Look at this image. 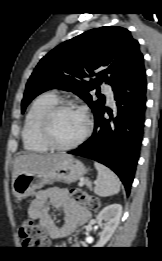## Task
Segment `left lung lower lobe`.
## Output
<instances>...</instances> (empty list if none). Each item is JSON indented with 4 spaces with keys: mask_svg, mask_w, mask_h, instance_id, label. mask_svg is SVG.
<instances>
[{
    "mask_svg": "<svg viewBox=\"0 0 162 261\" xmlns=\"http://www.w3.org/2000/svg\"><path fill=\"white\" fill-rule=\"evenodd\" d=\"M146 72L143 61L113 87L116 111L105 106L94 114L92 136L69 154L98 161L113 170L130 193L139 159L146 110Z\"/></svg>",
    "mask_w": 162,
    "mask_h": 261,
    "instance_id": "obj_1",
    "label": "left lung lower lobe"
}]
</instances>
